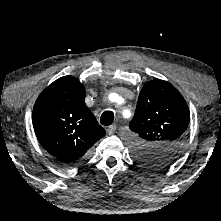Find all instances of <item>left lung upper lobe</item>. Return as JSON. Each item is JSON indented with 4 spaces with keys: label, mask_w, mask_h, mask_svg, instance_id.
Listing matches in <instances>:
<instances>
[{
    "label": "left lung upper lobe",
    "mask_w": 221,
    "mask_h": 221,
    "mask_svg": "<svg viewBox=\"0 0 221 221\" xmlns=\"http://www.w3.org/2000/svg\"><path fill=\"white\" fill-rule=\"evenodd\" d=\"M190 113L182 95L155 79L142 88L130 129L137 134L134 158L154 170L168 167L184 145Z\"/></svg>",
    "instance_id": "obj_1"
}]
</instances>
